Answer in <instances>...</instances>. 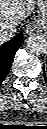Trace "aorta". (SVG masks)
I'll use <instances>...</instances> for the list:
<instances>
[{
    "label": "aorta",
    "mask_w": 47,
    "mask_h": 129,
    "mask_svg": "<svg viewBox=\"0 0 47 129\" xmlns=\"http://www.w3.org/2000/svg\"><path fill=\"white\" fill-rule=\"evenodd\" d=\"M27 50L34 55H42L47 52V40L43 35L33 34L26 41Z\"/></svg>",
    "instance_id": "1"
}]
</instances>
